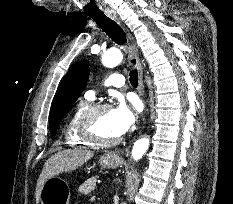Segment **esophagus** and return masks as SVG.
<instances>
[{
    "instance_id": "1",
    "label": "esophagus",
    "mask_w": 233,
    "mask_h": 204,
    "mask_svg": "<svg viewBox=\"0 0 233 204\" xmlns=\"http://www.w3.org/2000/svg\"><path fill=\"white\" fill-rule=\"evenodd\" d=\"M105 14L111 19L115 20L119 25H121L126 33L127 41L130 48L129 63L131 66L135 67L138 70V82H139L138 88L140 94L144 96L145 91H144V83H143V69L139 60V53H138V47L136 45V41L133 35L131 34V32L124 26V24L120 21V19L117 17L114 11L106 10ZM120 154H122V150H117L112 153V156L117 157Z\"/></svg>"
}]
</instances>
